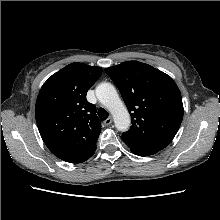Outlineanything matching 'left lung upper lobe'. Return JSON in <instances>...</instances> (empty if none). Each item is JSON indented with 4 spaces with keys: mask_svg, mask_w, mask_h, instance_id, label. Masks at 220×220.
Masks as SVG:
<instances>
[{
    "mask_svg": "<svg viewBox=\"0 0 220 220\" xmlns=\"http://www.w3.org/2000/svg\"><path fill=\"white\" fill-rule=\"evenodd\" d=\"M105 71L120 90L132 119L122 140L134 150L164 149L176 135L184 114L174 80L137 61H126Z\"/></svg>",
    "mask_w": 220,
    "mask_h": 220,
    "instance_id": "5c2ea615",
    "label": "left lung upper lobe"
}]
</instances>
